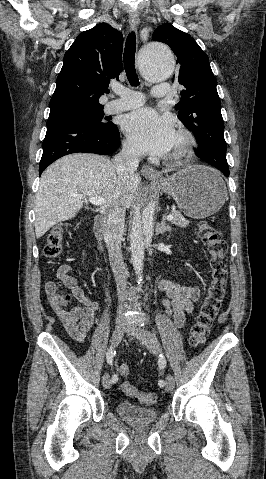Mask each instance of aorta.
Returning a JSON list of instances; mask_svg holds the SVG:
<instances>
[{
    "mask_svg": "<svg viewBox=\"0 0 266 479\" xmlns=\"http://www.w3.org/2000/svg\"><path fill=\"white\" fill-rule=\"evenodd\" d=\"M139 68L149 81L161 82L174 72V55L168 46L158 42L145 45L139 52ZM141 220H135L131 229L130 250L134 271L142 278L145 245L152 240L156 202L150 192L145 191L139 201Z\"/></svg>",
    "mask_w": 266,
    "mask_h": 479,
    "instance_id": "1",
    "label": "aorta"
}]
</instances>
